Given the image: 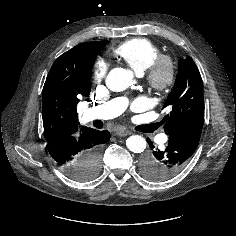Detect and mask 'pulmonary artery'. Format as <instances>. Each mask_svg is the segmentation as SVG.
<instances>
[{"mask_svg":"<svg viewBox=\"0 0 236 236\" xmlns=\"http://www.w3.org/2000/svg\"><path fill=\"white\" fill-rule=\"evenodd\" d=\"M127 105L128 99L126 97H117L102 105L86 110L84 117L87 121L114 118L120 115L126 109ZM166 141L167 136L161 135L160 142L165 143Z\"/></svg>","mask_w":236,"mask_h":236,"instance_id":"obj_1","label":"pulmonary artery"}]
</instances>
